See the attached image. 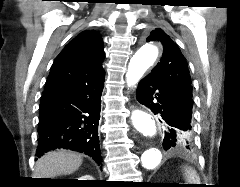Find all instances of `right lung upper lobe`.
<instances>
[{"label":"right lung upper lobe","mask_w":240,"mask_h":187,"mask_svg":"<svg viewBox=\"0 0 240 187\" xmlns=\"http://www.w3.org/2000/svg\"><path fill=\"white\" fill-rule=\"evenodd\" d=\"M102 38L95 30L83 31L54 60L44 94L104 74Z\"/></svg>","instance_id":"1"}]
</instances>
